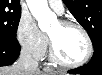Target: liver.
<instances>
[{"instance_id": "1", "label": "liver", "mask_w": 102, "mask_h": 75, "mask_svg": "<svg viewBox=\"0 0 102 75\" xmlns=\"http://www.w3.org/2000/svg\"><path fill=\"white\" fill-rule=\"evenodd\" d=\"M0 75H44L42 72L38 71H25L23 68L18 66V64H13L12 66L1 67Z\"/></svg>"}]
</instances>
